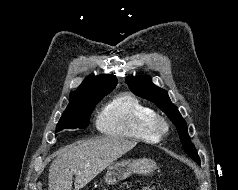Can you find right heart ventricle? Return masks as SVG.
Returning <instances> with one entry per match:
<instances>
[{"instance_id":"right-heart-ventricle-1","label":"right heart ventricle","mask_w":238,"mask_h":190,"mask_svg":"<svg viewBox=\"0 0 238 190\" xmlns=\"http://www.w3.org/2000/svg\"><path fill=\"white\" fill-rule=\"evenodd\" d=\"M154 110L131 94H120L109 100L96 118L97 129L108 136L155 143L158 135L152 128Z\"/></svg>"}]
</instances>
